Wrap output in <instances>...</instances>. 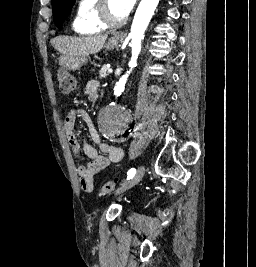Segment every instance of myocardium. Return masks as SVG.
I'll return each instance as SVG.
<instances>
[{
    "label": "myocardium",
    "mask_w": 256,
    "mask_h": 267,
    "mask_svg": "<svg viewBox=\"0 0 256 267\" xmlns=\"http://www.w3.org/2000/svg\"><path fill=\"white\" fill-rule=\"evenodd\" d=\"M113 0H100V8L97 14L98 23L102 26L104 30H111L115 26L110 24L109 21V5Z\"/></svg>",
    "instance_id": "f54148a6"
}]
</instances>
